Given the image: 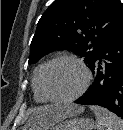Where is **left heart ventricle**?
<instances>
[{
  "label": "left heart ventricle",
  "mask_w": 123,
  "mask_h": 130,
  "mask_svg": "<svg viewBox=\"0 0 123 130\" xmlns=\"http://www.w3.org/2000/svg\"><path fill=\"white\" fill-rule=\"evenodd\" d=\"M84 77L78 64L71 60H60L47 73V89L56 98H68L81 88Z\"/></svg>",
  "instance_id": "1"
}]
</instances>
